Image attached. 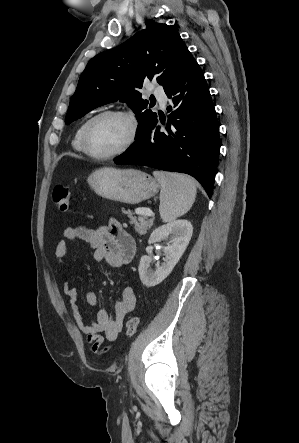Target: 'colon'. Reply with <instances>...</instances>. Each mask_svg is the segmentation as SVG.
I'll list each match as a JSON object with an SVG mask.
<instances>
[{"instance_id":"obj_1","label":"colon","mask_w":299,"mask_h":443,"mask_svg":"<svg viewBox=\"0 0 299 443\" xmlns=\"http://www.w3.org/2000/svg\"><path fill=\"white\" fill-rule=\"evenodd\" d=\"M53 203L57 210L66 212L70 206V190L67 185L57 184L52 192ZM139 318L133 316L126 323V335L132 337L137 332Z\"/></svg>"}]
</instances>
